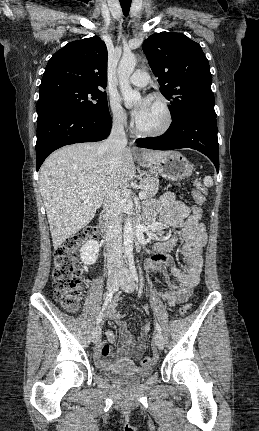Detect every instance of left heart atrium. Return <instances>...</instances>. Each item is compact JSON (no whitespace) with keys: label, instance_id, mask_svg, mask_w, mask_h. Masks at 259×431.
I'll use <instances>...</instances> for the list:
<instances>
[{"label":"left heart atrium","instance_id":"obj_1","mask_svg":"<svg viewBox=\"0 0 259 431\" xmlns=\"http://www.w3.org/2000/svg\"><path fill=\"white\" fill-rule=\"evenodd\" d=\"M148 104H149V99L143 98L142 100H140L138 102V104L132 110V116L134 117V119L136 121L139 120L142 117V115L145 113V111L148 107Z\"/></svg>","mask_w":259,"mask_h":431}]
</instances>
